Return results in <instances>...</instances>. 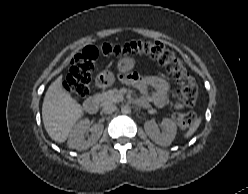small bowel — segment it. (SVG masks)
<instances>
[{
  "label": "small bowel",
  "mask_w": 248,
  "mask_h": 194,
  "mask_svg": "<svg viewBox=\"0 0 248 194\" xmlns=\"http://www.w3.org/2000/svg\"><path fill=\"white\" fill-rule=\"evenodd\" d=\"M128 82L142 94L139 99L140 104L153 103L157 107H163L167 104L170 85L164 78L156 75L140 76L132 74ZM175 106L178 109L182 108L180 103H176Z\"/></svg>",
  "instance_id": "obj_1"
}]
</instances>
